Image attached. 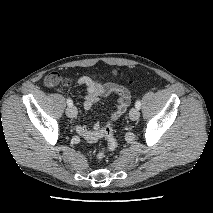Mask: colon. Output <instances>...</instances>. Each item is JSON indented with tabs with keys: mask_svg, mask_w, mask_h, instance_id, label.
Instances as JSON below:
<instances>
[{
	"mask_svg": "<svg viewBox=\"0 0 213 213\" xmlns=\"http://www.w3.org/2000/svg\"><path fill=\"white\" fill-rule=\"evenodd\" d=\"M52 80H55V78L53 77ZM122 93L127 95L128 91H123ZM102 135L105 138L106 143L97 153V159L99 161H102L109 152H112L117 148V140L114 135L113 124L111 120L107 121L104 125L102 129Z\"/></svg>",
	"mask_w": 213,
	"mask_h": 213,
	"instance_id": "1",
	"label": "colon"
}]
</instances>
